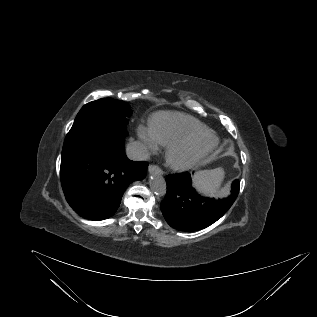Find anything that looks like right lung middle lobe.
Listing matches in <instances>:
<instances>
[{
  "instance_id": "dd1d6c3e",
  "label": "right lung middle lobe",
  "mask_w": 317,
  "mask_h": 317,
  "mask_svg": "<svg viewBox=\"0 0 317 317\" xmlns=\"http://www.w3.org/2000/svg\"><path fill=\"white\" fill-rule=\"evenodd\" d=\"M130 107L123 101L103 98L87 103L77 114L68 132L62 157L73 154L93 141L101 133L126 135Z\"/></svg>"
}]
</instances>
